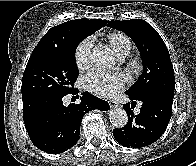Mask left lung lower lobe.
<instances>
[{"label":"left lung lower lobe","instance_id":"left-lung-lower-lobe-1","mask_svg":"<svg viewBox=\"0 0 196 166\" xmlns=\"http://www.w3.org/2000/svg\"><path fill=\"white\" fill-rule=\"evenodd\" d=\"M124 105L128 115L125 127L114 129L116 141L125 147L140 148L156 142L164 133L172 111L173 97L159 93L145 94ZM136 100L142 102L140 113L134 115L132 109Z\"/></svg>","mask_w":196,"mask_h":166}]
</instances>
